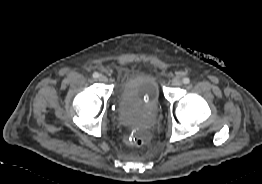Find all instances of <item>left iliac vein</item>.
Returning <instances> with one entry per match:
<instances>
[{"label":"left iliac vein","instance_id":"1","mask_svg":"<svg viewBox=\"0 0 262 184\" xmlns=\"http://www.w3.org/2000/svg\"><path fill=\"white\" fill-rule=\"evenodd\" d=\"M181 84H182V81L178 78H176L172 81V85L175 86V87L181 86Z\"/></svg>","mask_w":262,"mask_h":184}]
</instances>
